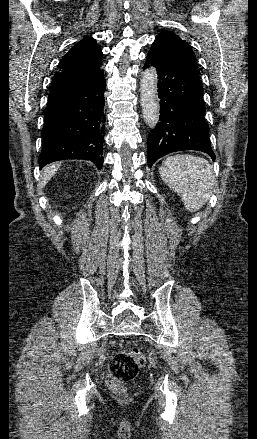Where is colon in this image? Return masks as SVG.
I'll return each instance as SVG.
<instances>
[{"mask_svg": "<svg viewBox=\"0 0 257 439\" xmlns=\"http://www.w3.org/2000/svg\"><path fill=\"white\" fill-rule=\"evenodd\" d=\"M145 364V355L139 347L116 353L109 367L108 384L116 392L124 391L123 384L133 380Z\"/></svg>", "mask_w": 257, "mask_h": 439, "instance_id": "1", "label": "colon"}]
</instances>
